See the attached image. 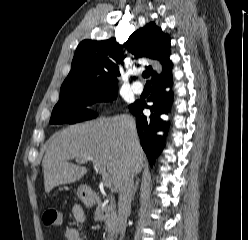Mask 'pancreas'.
<instances>
[{
	"label": "pancreas",
	"mask_w": 248,
	"mask_h": 240,
	"mask_svg": "<svg viewBox=\"0 0 248 240\" xmlns=\"http://www.w3.org/2000/svg\"><path fill=\"white\" fill-rule=\"evenodd\" d=\"M95 218L105 223L106 236L104 240H113L118 232V218L114 205L102 206L99 203L95 210Z\"/></svg>",
	"instance_id": "obj_1"
}]
</instances>
